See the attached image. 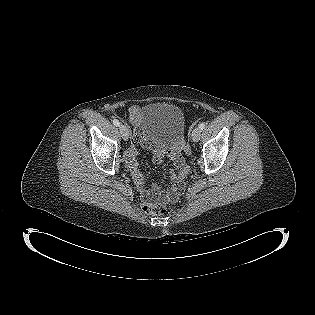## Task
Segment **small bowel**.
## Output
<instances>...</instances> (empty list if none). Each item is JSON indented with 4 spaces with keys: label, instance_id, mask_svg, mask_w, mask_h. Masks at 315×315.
Returning a JSON list of instances; mask_svg holds the SVG:
<instances>
[{
    "label": "small bowel",
    "instance_id": "small-bowel-1",
    "mask_svg": "<svg viewBox=\"0 0 315 315\" xmlns=\"http://www.w3.org/2000/svg\"><path fill=\"white\" fill-rule=\"evenodd\" d=\"M129 120L132 124L138 126L140 121V108L138 106H132L129 109ZM135 140L139 143H142L144 146L152 148V145L147 142L139 131L135 134ZM137 150L135 148H130L126 153V162L130 169L133 180L137 186L139 193L144 198H152L155 193L158 192L160 187L158 185H153L148 187L146 178L141 173L139 163L136 159ZM172 157L174 164L177 170L182 171L185 168V161L182 159L180 153L175 152L174 150L162 151L155 149L153 152V161L157 164H162L166 157ZM166 176L168 179L173 180L176 178L177 173L175 170L170 169L167 171Z\"/></svg>",
    "mask_w": 315,
    "mask_h": 315
}]
</instances>
